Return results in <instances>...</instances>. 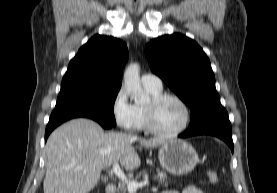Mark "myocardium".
<instances>
[{
    "instance_id": "1",
    "label": "myocardium",
    "mask_w": 277,
    "mask_h": 193,
    "mask_svg": "<svg viewBox=\"0 0 277 193\" xmlns=\"http://www.w3.org/2000/svg\"><path fill=\"white\" fill-rule=\"evenodd\" d=\"M166 99H173L177 101L182 106L185 112V119L182 126L170 132L161 130L157 126L155 118L156 108ZM144 113L146 118L147 130L152 134L163 138H173L180 135L188 128L191 121V110L188 104L185 102L184 99L174 93H160L158 95L152 96L150 102L144 107Z\"/></svg>"
}]
</instances>
